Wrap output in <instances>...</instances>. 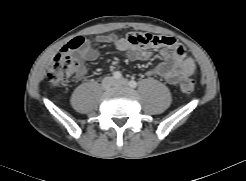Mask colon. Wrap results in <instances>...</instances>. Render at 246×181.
Returning <instances> with one entry per match:
<instances>
[{
  "mask_svg": "<svg viewBox=\"0 0 246 181\" xmlns=\"http://www.w3.org/2000/svg\"><path fill=\"white\" fill-rule=\"evenodd\" d=\"M159 36L143 34L140 42L143 44L158 43ZM83 43L82 37H76L58 53L48 68L47 79L55 87L65 85L80 68V62L77 58L69 54V50L79 48ZM195 89L194 80L191 78L183 79L180 82V90L185 94H190Z\"/></svg>",
  "mask_w": 246,
  "mask_h": 181,
  "instance_id": "1",
  "label": "colon"
}]
</instances>
